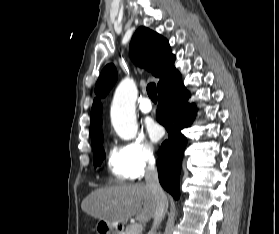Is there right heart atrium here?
I'll return each mask as SVG.
<instances>
[{
  "instance_id": "d8ad5b80",
  "label": "right heart atrium",
  "mask_w": 279,
  "mask_h": 234,
  "mask_svg": "<svg viewBox=\"0 0 279 234\" xmlns=\"http://www.w3.org/2000/svg\"><path fill=\"white\" fill-rule=\"evenodd\" d=\"M124 152L133 178L142 177L156 161L154 146L143 137H138L127 143Z\"/></svg>"
}]
</instances>
